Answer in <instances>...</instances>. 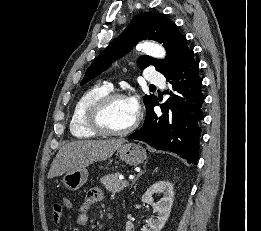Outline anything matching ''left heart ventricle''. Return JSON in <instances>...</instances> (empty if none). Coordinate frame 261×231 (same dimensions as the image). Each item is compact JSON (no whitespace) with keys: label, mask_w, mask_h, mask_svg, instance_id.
I'll list each match as a JSON object with an SVG mask.
<instances>
[{"label":"left heart ventricle","mask_w":261,"mask_h":231,"mask_svg":"<svg viewBox=\"0 0 261 231\" xmlns=\"http://www.w3.org/2000/svg\"><path fill=\"white\" fill-rule=\"evenodd\" d=\"M136 113L133 111L129 99H117L111 103L104 114V120L113 130L128 128L134 121Z\"/></svg>","instance_id":"b2bd125f"}]
</instances>
